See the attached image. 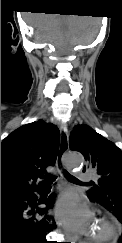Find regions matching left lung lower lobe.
<instances>
[{
	"mask_svg": "<svg viewBox=\"0 0 122 243\" xmlns=\"http://www.w3.org/2000/svg\"><path fill=\"white\" fill-rule=\"evenodd\" d=\"M113 192L115 193V196H114L115 200H121L122 199V186L115 187L113 189ZM118 243H122V235L120 236Z\"/></svg>",
	"mask_w": 122,
	"mask_h": 243,
	"instance_id": "0a47b994",
	"label": "left lung lower lobe"
}]
</instances>
